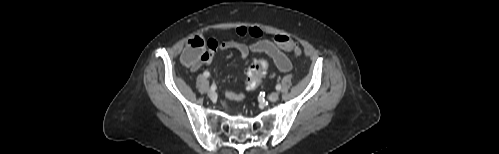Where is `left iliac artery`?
Returning <instances> with one entry per match:
<instances>
[{"label": "left iliac artery", "mask_w": 499, "mask_h": 154, "mask_svg": "<svg viewBox=\"0 0 499 154\" xmlns=\"http://www.w3.org/2000/svg\"><path fill=\"white\" fill-rule=\"evenodd\" d=\"M281 89V85H276V90H280Z\"/></svg>", "instance_id": "obj_1"}]
</instances>
